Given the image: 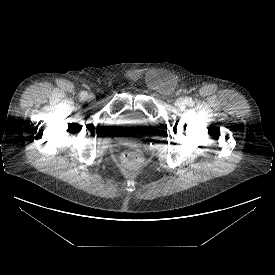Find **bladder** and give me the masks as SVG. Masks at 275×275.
Listing matches in <instances>:
<instances>
[{
	"label": "bladder",
	"mask_w": 275,
	"mask_h": 275,
	"mask_svg": "<svg viewBox=\"0 0 275 275\" xmlns=\"http://www.w3.org/2000/svg\"><path fill=\"white\" fill-rule=\"evenodd\" d=\"M116 122L118 126H123V127H142L144 128L147 124L146 122H132L122 116L116 117Z\"/></svg>",
	"instance_id": "1"
}]
</instances>
